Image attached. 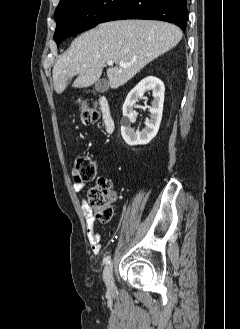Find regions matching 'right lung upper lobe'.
Segmentation results:
<instances>
[{
    "label": "right lung upper lobe",
    "instance_id": "1",
    "mask_svg": "<svg viewBox=\"0 0 240 329\" xmlns=\"http://www.w3.org/2000/svg\"><path fill=\"white\" fill-rule=\"evenodd\" d=\"M69 1H71V0H60L59 5L57 6L56 9L62 7L63 5H65V4H66L67 2H69Z\"/></svg>",
    "mask_w": 240,
    "mask_h": 329
}]
</instances>
